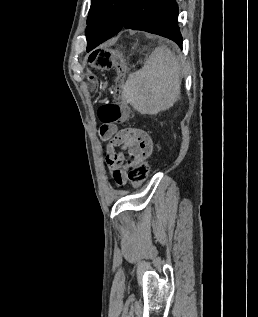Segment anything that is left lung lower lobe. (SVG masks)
<instances>
[{
	"label": "left lung lower lobe",
	"mask_w": 258,
	"mask_h": 317,
	"mask_svg": "<svg viewBox=\"0 0 258 317\" xmlns=\"http://www.w3.org/2000/svg\"><path fill=\"white\" fill-rule=\"evenodd\" d=\"M178 5L175 0H131L122 26H100L86 34L87 51L113 37L123 28L141 30L166 37L182 48V36L177 25Z\"/></svg>",
	"instance_id": "obj_1"
}]
</instances>
